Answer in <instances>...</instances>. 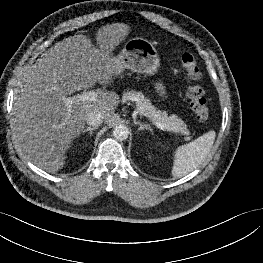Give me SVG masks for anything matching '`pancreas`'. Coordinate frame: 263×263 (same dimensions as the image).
<instances>
[{"label":"pancreas","instance_id":"pancreas-1","mask_svg":"<svg viewBox=\"0 0 263 263\" xmlns=\"http://www.w3.org/2000/svg\"><path fill=\"white\" fill-rule=\"evenodd\" d=\"M123 99L135 102L140 115L158 120L164 125V130L185 135L186 137L184 139L186 141L190 140V131L182 119L174 114L168 116L165 111H160L141 92L135 90L124 92Z\"/></svg>","mask_w":263,"mask_h":263}]
</instances>
